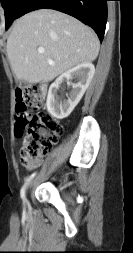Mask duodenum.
Returning a JSON list of instances; mask_svg holds the SVG:
<instances>
[{
    "instance_id": "obj_1",
    "label": "duodenum",
    "mask_w": 133,
    "mask_h": 253,
    "mask_svg": "<svg viewBox=\"0 0 133 253\" xmlns=\"http://www.w3.org/2000/svg\"><path fill=\"white\" fill-rule=\"evenodd\" d=\"M41 88H42V90L45 92L46 89H47V85H46V84H42Z\"/></svg>"
}]
</instances>
